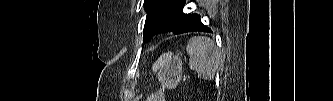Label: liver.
<instances>
[{
	"label": "liver",
	"instance_id": "6515ba94",
	"mask_svg": "<svg viewBox=\"0 0 333 101\" xmlns=\"http://www.w3.org/2000/svg\"><path fill=\"white\" fill-rule=\"evenodd\" d=\"M158 68H159V61L156 64H154L153 70H157Z\"/></svg>",
	"mask_w": 333,
	"mask_h": 101
}]
</instances>
